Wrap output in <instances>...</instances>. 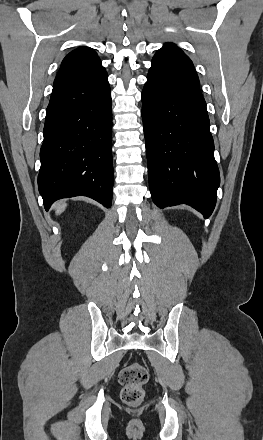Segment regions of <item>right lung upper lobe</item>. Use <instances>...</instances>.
<instances>
[{"mask_svg": "<svg viewBox=\"0 0 263 440\" xmlns=\"http://www.w3.org/2000/svg\"><path fill=\"white\" fill-rule=\"evenodd\" d=\"M97 53L89 47L70 52L62 61L53 90L81 81L104 71Z\"/></svg>", "mask_w": 263, "mask_h": 440, "instance_id": "1", "label": "right lung upper lobe"}]
</instances>
